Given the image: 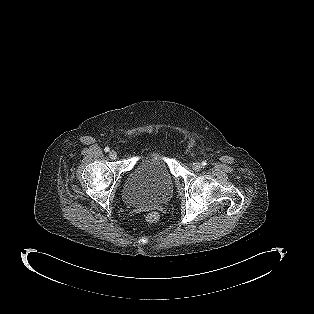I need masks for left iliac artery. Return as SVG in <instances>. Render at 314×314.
Segmentation results:
<instances>
[{"instance_id":"obj_1","label":"left iliac artery","mask_w":314,"mask_h":314,"mask_svg":"<svg viewBox=\"0 0 314 314\" xmlns=\"http://www.w3.org/2000/svg\"><path fill=\"white\" fill-rule=\"evenodd\" d=\"M207 165V162L206 161H203L202 162V166H206Z\"/></svg>"}]
</instances>
